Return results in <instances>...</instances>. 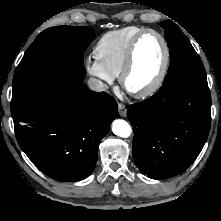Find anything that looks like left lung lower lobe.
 Masks as SVG:
<instances>
[{
	"mask_svg": "<svg viewBox=\"0 0 221 221\" xmlns=\"http://www.w3.org/2000/svg\"><path fill=\"white\" fill-rule=\"evenodd\" d=\"M134 130L133 158L152 179L186 170L201 152L211 125L207 83L173 80L149 99L128 107Z\"/></svg>",
	"mask_w": 221,
	"mask_h": 221,
	"instance_id": "left-lung-lower-lobe-1",
	"label": "left lung lower lobe"
}]
</instances>
